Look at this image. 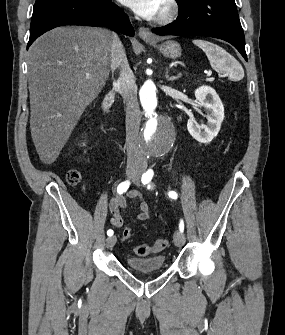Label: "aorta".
<instances>
[{
    "mask_svg": "<svg viewBox=\"0 0 285 335\" xmlns=\"http://www.w3.org/2000/svg\"><path fill=\"white\" fill-rule=\"evenodd\" d=\"M135 96L139 97L143 111L149 114L146 125L138 127L142 152L146 156H163L164 152H171L177 130L171 125V119H162V102L166 101V96L160 95L152 80H147L141 90H136Z\"/></svg>",
    "mask_w": 285,
    "mask_h": 335,
    "instance_id": "aorta-1",
    "label": "aorta"
}]
</instances>
